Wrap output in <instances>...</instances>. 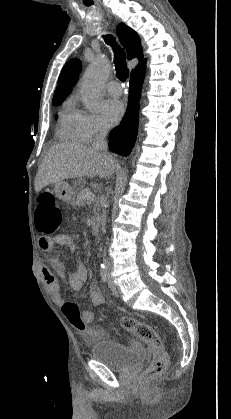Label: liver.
Masks as SVG:
<instances>
[{"mask_svg": "<svg viewBox=\"0 0 231 419\" xmlns=\"http://www.w3.org/2000/svg\"><path fill=\"white\" fill-rule=\"evenodd\" d=\"M116 169L115 159L93 147L75 143L54 145L45 155L35 177L36 193L49 184L72 178H106Z\"/></svg>", "mask_w": 231, "mask_h": 419, "instance_id": "obj_1", "label": "liver"}]
</instances>
